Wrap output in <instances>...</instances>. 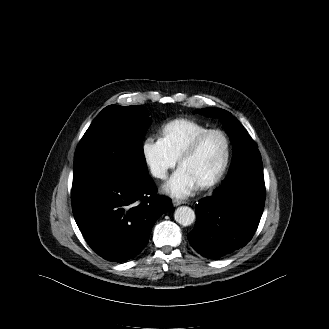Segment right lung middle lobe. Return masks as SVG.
Segmentation results:
<instances>
[{"instance_id": "dd1d6c3e", "label": "right lung middle lobe", "mask_w": 329, "mask_h": 329, "mask_svg": "<svg viewBox=\"0 0 329 329\" xmlns=\"http://www.w3.org/2000/svg\"><path fill=\"white\" fill-rule=\"evenodd\" d=\"M148 116L140 105L104 108L77 146L73 183L100 173L131 182L146 177L142 140L151 124Z\"/></svg>"}]
</instances>
